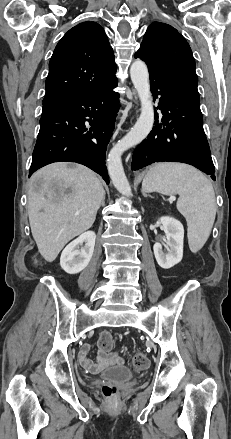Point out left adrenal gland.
I'll return each instance as SVG.
<instances>
[{"mask_svg": "<svg viewBox=\"0 0 231 439\" xmlns=\"http://www.w3.org/2000/svg\"><path fill=\"white\" fill-rule=\"evenodd\" d=\"M144 197H147V195L143 192Z\"/></svg>", "mask_w": 231, "mask_h": 439, "instance_id": "left-adrenal-gland-1", "label": "left adrenal gland"}]
</instances>
